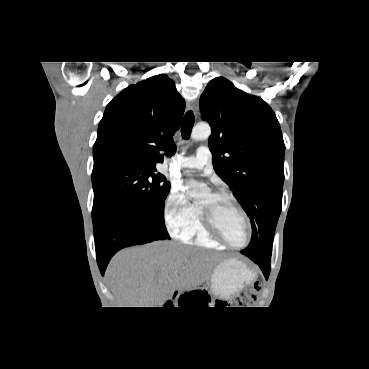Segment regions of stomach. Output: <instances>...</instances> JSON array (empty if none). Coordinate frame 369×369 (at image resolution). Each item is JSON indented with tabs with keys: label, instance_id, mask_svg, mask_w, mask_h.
I'll use <instances>...</instances> for the list:
<instances>
[{
	"label": "stomach",
	"instance_id": "obj_1",
	"mask_svg": "<svg viewBox=\"0 0 369 369\" xmlns=\"http://www.w3.org/2000/svg\"><path fill=\"white\" fill-rule=\"evenodd\" d=\"M254 275L247 266L235 259H228L219 263L211 277V290L221 298H230L241 290Z\"/></svg>",
	"mask_w": 369,
	"mask_h": 369
}]
</instances>
